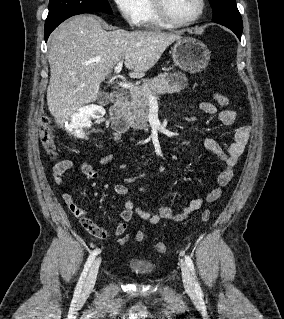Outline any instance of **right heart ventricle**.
<instances>
[{
    "instance_id": "e07e8e85",
    "label": "right heart ventricle",
    "mask_w": 284,
    "mask_h": 319,
    "mask_svg": "<svg viewBox=\"0 0 284 319\" xmlns=\"http://www.w3.org/2000/svg\"><path fill=\"white\" fill-rule=\"evenodd\" d=\"M141 25L148 28L166 25V23L161 21L155 14L151 0H145V10L142 17Z\"/></svg>"
}]
</instances>
